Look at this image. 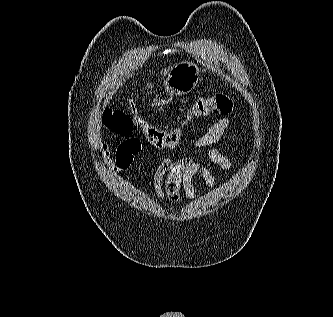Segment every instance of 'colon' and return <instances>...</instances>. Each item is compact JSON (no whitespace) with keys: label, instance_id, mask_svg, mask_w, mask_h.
<instances>
[{"label":"colon","instance_id":"obj_1","mask_svg":"<svg viewBox=\"0 0 333 317\" xmlns=\"http://www.w3.org/2000/svg\"><path fill=\"white\" fill-rule=\"evenodd\" d=\"M233 109L232 98L219 93L208 97H199L188 111V121L195 118H207L217 115H228ZM130 114L121 110L106 109L103 113L104 124L117 135L129 136L137 125L145 139L158 150H173L182 139L180 128L163 130L146 120L135 104L129 107Z\"/></svg>","mask_w":333,"mask_h":317}]
</instances>
